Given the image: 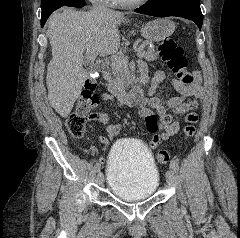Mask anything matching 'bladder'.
Returning a JSON list of instances; mask_svg holds the SVG:
<instances>
[{"mask_svg":"<svg viewBox=\"0 0 240 238\" xmlns=\"http://www.w3.org/2000/svg\"><path fill=\"white\" fill-rule=\"evenodd\" d=\"M107 185L114 196L124 201L151 197L159 185V171L151 151L132 140H123L110 152Z\"/></svg>","mask_w":240,"mask_h":238,"instance_id":"bladder-1","label":"bladder"}]
</instances>
